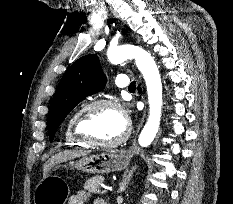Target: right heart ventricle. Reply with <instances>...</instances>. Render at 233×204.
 <instances>
[{
	"instance_id": "obj_1",
	"label": "right heart ventricle",
	"mask_w": 233,
	"mask_h": 204,
	"mask_svg": "<svg viewBox=\"0 0 233 204\" xmlns=\"http://www.w3.org/2000/svg\"><path fill=\"white\" fill-rule=\"evenodd\" d=\"M75 114L76 113L72 114L67 121L65 132H64V140L66 144L71 147H86L87 144L77 139L72 132V123H73V118Z\"/></svg>"
}]
</instances>
